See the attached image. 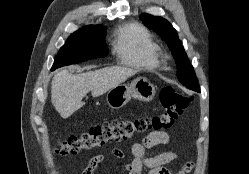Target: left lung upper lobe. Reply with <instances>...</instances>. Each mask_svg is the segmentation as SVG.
<instances>
[{
  "instance_id": "5c2ea615",
  "label": "left lung upper lobe",
  "mask_w": 249,
  "mask_h": 174,
  "mask_svg": "<svg viewBox=\"0 0 249 174\" xmlns=\"http://www.w3.org/2000/svg\"><path fill=\"white\" fill-rule=\"evenodd\" d=\"M139 18L146 27L154 30L168 44L176 60L178 80L187 88L200 92L193 66L189 63L182 42L179 40L177 32L172 25L162 17L149 14H141Z\"/></svg>"
}]
</instances>
